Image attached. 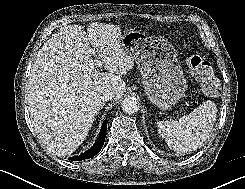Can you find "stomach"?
<instances>
[{"label": "stomach", "mask_w": 245, "mask_h": 189, "mask_svg": "<svg viewBox=\"0 0 245 189\" xmlns=\"http://www.w3.org/2000/svg\"><path fill=\"white\" fill-rule=\"evenodd\" d=\"M121 48L138 65L145 94L158 108L170 109L184 96L187 81L170 42L130 31L122 36Z\"/></svg>", "instance_id": "stomach-1"}]
</instances>
